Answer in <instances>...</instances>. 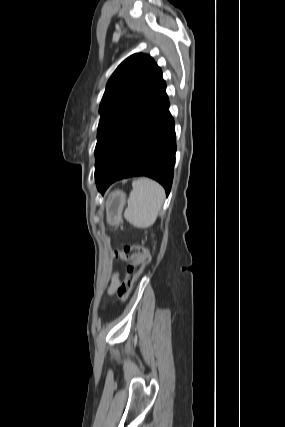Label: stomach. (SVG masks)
<instances>
[{
    "mask_svg": "<svg viewBox=\"0 0 285 427\" xmlns=\"http://www.w3.org/2000/svg\"><path fill=\"white\" fill-rule=\"evenodd\" d=\"M125 204V194L122 191L112 192L107 200L108 221L112 225H118L121 220V212Z\"/></svg>",
    "mask_w": 285,
    "mask_h": 427,
    "instance_id": "obj_1",
    "label": "stomach"
}]
</instances>
